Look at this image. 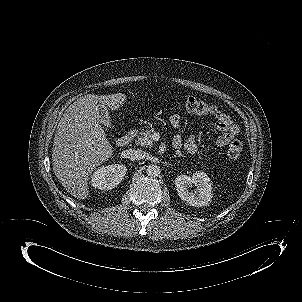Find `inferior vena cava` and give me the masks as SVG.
Wrapping results in <instances>:
<instances>
[{
	"label": "inferior vena cava",
	"mask_w": 302,
	"mask_h": 302,
	"mask_svg": "<svg viewBox=\"0 0 302 302\" xmlns=\"http://www.w3.org/2000/svg\"><path fill=\"white\" fill-rule=\"evenodd\" d=\"M124 156L129 160L135 161V160L143 159L145 156V152L142 151L141 149L130 148L124 151Z\"/></svg>",
	"instance_id": "obj_1"
}]
</instances>
